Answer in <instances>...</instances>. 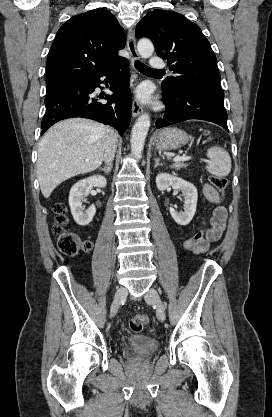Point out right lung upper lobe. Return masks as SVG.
Masks as SVG:
<instances>
[{
  "label": "right lung upper lobe",
  "instance_id": "1",
  "mask_svg": "<svg viewBox=\"0 0 272 417\" xmlns=\"http://www.w3.org/2000/svg\"><path fill=\"white\" fill-rule=\"evenodd\" d=\"M124 46V30L108 10L73 16L60 27L49 51L46 87L100 73L123 58L117 51Z\"/></svg>",
  "mask_w": 272,
  "mask_h": 417
}]
</instances>
